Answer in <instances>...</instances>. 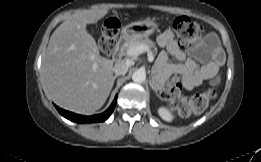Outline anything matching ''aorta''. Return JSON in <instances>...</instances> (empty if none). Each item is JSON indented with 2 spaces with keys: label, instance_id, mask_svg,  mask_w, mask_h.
Here are the masks:
<instances>
[{
  "label": "aorta",
  "instance_id": "1",
  "mask_svg": "<svg viewBox=\"0 0 261 162\" xmlns=\"http://www.w3.org/2000/svg\"><path fill=\"white\" fill-rule=\"evenodd\" d=\"M145 79H146V73L142 69L135 71L132 75V80L136 83H143Z\"/></svg>",
  "mask_w": 261,
  "mask_h": 162
}]
</instances>
